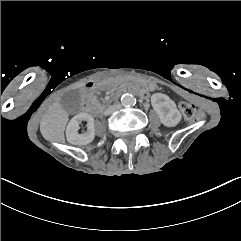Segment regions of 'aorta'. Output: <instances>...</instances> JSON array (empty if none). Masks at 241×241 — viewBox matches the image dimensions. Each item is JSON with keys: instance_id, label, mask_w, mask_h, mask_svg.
I'll list each match as a JSON object with an SVG mask.
<instances>
[{"instance_id": "762f6f07", "label": "aorta", "mask_w": 241, "mask_h": 241, "mask_svg": "<svg viewBox=\"0 0 241 241\" xmlns=\"http://www.w3.org/2000/svg\"><path fill=\"white\" fill-rule=\"evenodd\" d=\"M136 102V99L133 95L131 94H124L122 97H121V103L123 106H132L134 105Z\"/></svg>"}]
</instances>
